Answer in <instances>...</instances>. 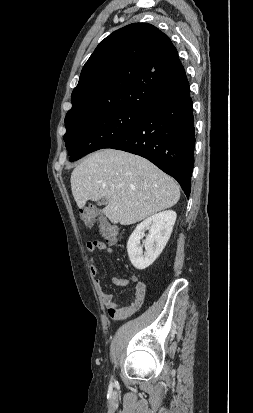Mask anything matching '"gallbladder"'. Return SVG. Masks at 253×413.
Returning <instances> with one entry per match:
<instances>
[{
	"instance_id": "gallbladder-1",
	"label": "gallbladder",
	"mask_w": 253,
	"mask_h": 413,
	"mask_svg": "<svg viewBox=\"0 0 253 413\" xmlns=\"http://www.w3.org/2000/svg\"><path fill=\"white\" fill-rule=\"evenodd\" d=\"M108 201L106 200V199H101V200H99L97 203L99 204V205H103V204H106Z\"/></svg>"
}]
</instances>
